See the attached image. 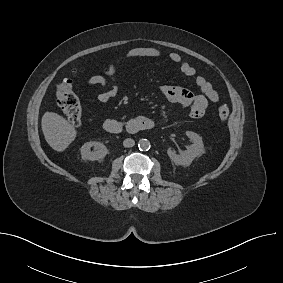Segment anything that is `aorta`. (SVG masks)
Segmentation results:
<instances>
[{
  "label": "aorta",
  "instance_id": "obj_1",
  "mask_svg": "<svg viewBox=\"0 0 283 283\" xmlns=\"http://www.w3.org/2000/svg\"><path fill=\"white\" fill-rule=\"evenodd\" d=\"M150 146H151L150 141L147 140V139H140L139 142H138V147L142 151L149 150Z\"/></svg>",
  "mask_w": 283,
  "mask_h": 283
}]
</instances>
